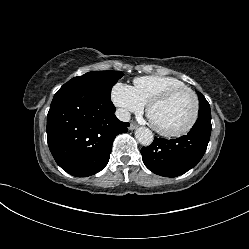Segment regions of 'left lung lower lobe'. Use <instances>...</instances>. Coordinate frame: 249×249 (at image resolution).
I'll return each instance as SVG.
<instances>
[{
  "mask_svg": "<svg viewBox=\"0 0 249 249\" xmlns=\"http://www.w3.org/2000/svg\"><path fill=\"white\" fill-rule=\"evenodd\" d=\"M211 116H198L187 135L167 140L154 138L141 150L145 166L155 174L176 177L184 174L203 157L210 139Z\"/></svg>",
  "mask_w": 249,
  "mask_h": 249,
  "instance_id": "1",
  "label": "left lung lower lobe"
}]
</instances>
